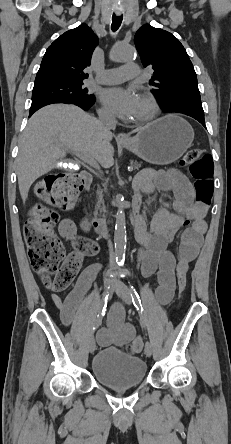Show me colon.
<instances>
[{
  "label": "colon",
  "mask_w": 231,
  "mask_h": 444,
  "mask_svg": "<svg viewBox=\"0 0 231 444\" xmlns=\"http://www.w3.org/2000/svg\"><path fill=\"white\" fill-rule=\"evenodd\" d=\"M180 165L187 169L194 180L196 200L208 205L213 195V162L203 149L193 148L185 153ZM84 184L71 173L48 175L35 188L36 195L46 204L37 206L33 216L24 226V238L31 265L42 282L53 291L65 290L74 280L82 260L79 252L65 255L64 247L54 231L58 221L56 209H70ZM187 286L186 273L178 275V291ZM133 352L142 348L137 339L130 345Z\"/></svg>",
  "instance_id": "1"
}]
</instances>
